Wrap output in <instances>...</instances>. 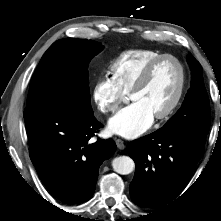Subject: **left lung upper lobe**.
I'll list each match as a JSON object with an SVG mask.
<instances>
[{"label":"left lung upper lobe","instance_id":"5c2ea615","mask_svg":"<svg viewBox=\"0 0 221 221\" xmlns=\"http://www.w3.org/2000/svg\"><path fill=\"white\" fill-rule=\"evenodd\" d=\"M188 60L193 70L191 88L181 108L159 131L192 130L206 134L209 132L210 106L203 83L202 67L192 55H189Z\"/></svg>","mask_w":221,"mask_h":221}]
</instances>
